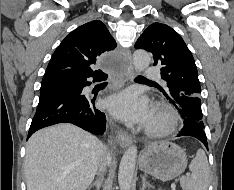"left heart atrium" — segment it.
I'll use <instances>...</instances> for the list:
<instances>
[{
    "label": "left heart atrium",
    "mask_w": 234,
    "mask_h": 190,
    "mask_svg": "<svg viewBox=\"0 0 234 190\" xmlns=\"http://www.w3.org/2000/svg\"><path fill=\"white\" fill-rule=\"evenodd\" d=\"M106 106L116 118L129 124H148L153 116L148 101L134 90L111 96Z\"/></svg>",
    "instance_id": "39dd6f15"
}]
</instances>
